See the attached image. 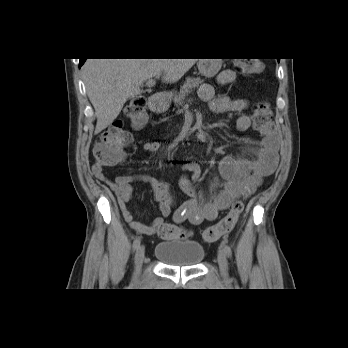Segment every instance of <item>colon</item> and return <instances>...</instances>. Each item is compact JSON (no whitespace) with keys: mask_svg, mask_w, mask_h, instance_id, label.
I'll use <instances>...</instances> for the list:
<instances>
[{"mask_svg":"<svg viewBox=\"0 0 348 348\" xmlns=\"http://www.w3.org/2000/svg\"><path fill=\"white\" fill-rule=\"evenodd\" d=\"M263 64L258 58H240L235 62V69L241 74H256L262 70ZM126 117L134 127H142L147 123L145 100L136 98L126 111ZM253 128L260 134H271L274 131L273 115L266 103L255 105L252 116ZM130 133L124 129L121 121L111 124L100 136L94 147V157L98 164L115 165L120 162L131 145ZM243 202L233 203L229 212L216 225L207 228L203 233L206 242H215L229 234L243 211ZM162 239H186L190 236L187 229L173 224H163L157 231Z\"/></svg>","mask_w":348,"mask_h":348,"instance_id":"colon-1","label":"colon"}]
</instances>
